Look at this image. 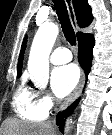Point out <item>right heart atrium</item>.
<instances>
[{
    "mask_svg": "<svg viewBox=\"0 0 112 135\" xmlns=\"http://www.w3.org/2000/svg\"><path fill=\"white\" fill-rule=\"evenodd\" d=\"M37 99H38V103L41 106V108L47 112L50 111L55 104V100L52 97V95L46 91L38 92Z\"/></svg>",
    "mask_w": 112,
    "mask_h": 135,
    "instance_id": "obj_1",
    "label": "right heart atrium"
}]
</instances>
